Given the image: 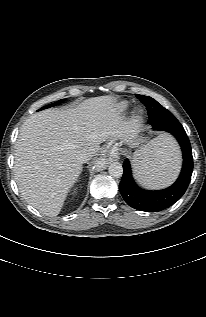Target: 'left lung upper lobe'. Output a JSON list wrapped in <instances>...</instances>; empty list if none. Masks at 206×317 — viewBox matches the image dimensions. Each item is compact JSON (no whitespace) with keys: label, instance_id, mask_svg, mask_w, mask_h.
Wrapping results in <instances>:
<instances>
[{"label":"left lung upper lobe","instance_id":"left-lung-upper-lobe-1","mask_svg":"<svg viewBox=\"0 0 206 317\" xmlns=\"http://www.w3.org/2000/svg\"><path fill=\"white\" fill-rule=\"evenodd\" d=\"M137 97L146 105L148 113H151L149 116V124L153 126L156 130H162L164 126H176L182 127L179 121L172 115L170 112L169 115L162 112V114H156L152 109L154 106L152 104H159L156 100L149 96L137 95ZM168 119V120H167Z\"/></svg>","mask_w":206,"mask_h":317}]
</instances>
